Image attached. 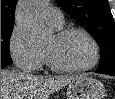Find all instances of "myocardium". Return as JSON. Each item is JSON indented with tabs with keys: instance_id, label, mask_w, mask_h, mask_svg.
<instances>
[{
	"instance_id": "f54148a6",
	"label": "myocardium",
	"mask_w": 115,
	"mask_h": 99,
	"mask_svg": "<svg viewBox=\"0 0 115 99\" xmlns=\"http://www.w3.org/2000/svg\"><path fill=\"white\" fill-rule=\"evenodd\" d=\"M72 33H80L83 36H85L87 40L90 42L92 51H93V56H92L91 61L88 64H85L82 66H76V67L63 66L56 63L55 60L52 58V56L49 53L45 52L44 53L45 59L47 61L48 66L52 70L57 71V72L78 73V72L88 71L94 68L98 64L99 59H100V49H99L98 43L96 39L92 36V34L89 33L86 29H83L80 27H68V28L59 30L55 34V36L58 39H62Z\"/></svg>"
}]
</instances>
